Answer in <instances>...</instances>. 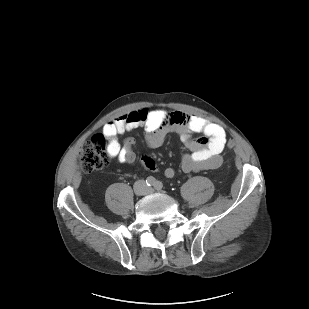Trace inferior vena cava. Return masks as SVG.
Wrapping results in <instances>:
<instances>
[{
    "label": "inferior vena cava",
    "mask_w": 309,
    "mask_h": 309,
    "mask_svg": "<svg viewBox=\"0 0 309 309\" xmlns=\"http://www.w3.org/2000/svg\"><path fill=\"white\" fill-rule=\"evenodd\" d=\"M139 186H142L143 188H147L146 183H145L144 180H139V181H137V182L135 183L136 189H137V187H139ZM143 193H146V192H143Z\"/></svg>",
    "instance_id": "602c4592"
}]
</instances>
